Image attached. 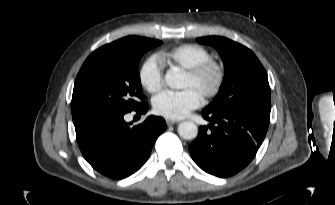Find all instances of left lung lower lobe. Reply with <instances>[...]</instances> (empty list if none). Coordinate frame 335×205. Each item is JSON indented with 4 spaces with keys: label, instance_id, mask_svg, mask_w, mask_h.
<instances>
[{
    "label": "left lung lower lobe",
    "instance_id": "0a47b994",
    "mask_svg": "<svg viewBox=\"0 0 335 205\" xmlns=\"http://www.w3.org/2000/svg\"><path fill=\"white\" fill-rule=\"evenodd\" d=\"M203 118L210 123L201 126L189 151L200 168L218 177L234 175L251 162L269 125V118L246 110H203Z\"/></svg>",
    "mask_w": 335,
    "mask_h": 205
}]
</instances>
